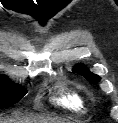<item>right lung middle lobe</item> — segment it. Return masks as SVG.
I'll use <instances>...</instances> for the list:
<instances>
[{
    "label": "right lung middle lobe",
    "instance_id": "1",
    "mask_svg": "<svg viewBox=\"0 0 118 123\" xmlns=\"http://www.w3.org/2000/svg\"><path fill=\"white\" fill-rule=\"evenodd\" d=\"M26 92L23 87L10 82L5 76L0 75V109L17 103Z\"/></svg>",
    "mask_w": 118,
    "mask_h": 123
}]
</instances>
